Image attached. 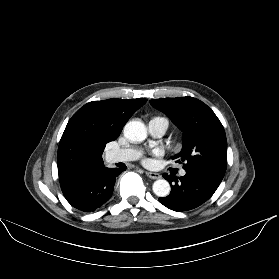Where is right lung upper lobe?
<instances>
[{
  "mask_svg": "<svg viewBox=\"0 0 279 279\" xmlns=\"http://www.w3.org/2000/svg\"><path fill=\"white\" fill-rule=\"evenodd\" d=\"M147 99L92 101L69 120L61 137L57 164L60 183L104 168L102 153L120 135L132 114Z\"/></svg>",
  "mask_w": 279,
  "mask_h": 279,
  "instance_id": "cb5924a9",
  "label": "right lung upper lobe"
}]
</instances>
